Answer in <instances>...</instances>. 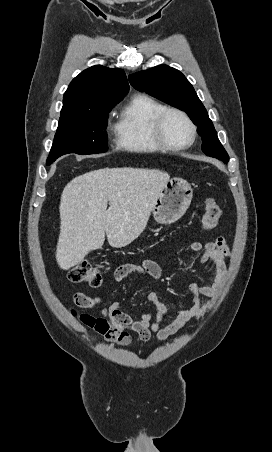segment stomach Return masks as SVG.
I'll return each mask as SVG.
<instances>
[{"mask_svg": "<svg viewBox=\"0 0 272 452\" xmlns=\"http://www.w3.org/2000/svg\"><path fill=\"white\" fill-rule=\"evenodd\" d=\"M193 197L190 184L182 178H172L163 187L152 209L158 224L168 225L180 219Z\"/></svg>", "mask_w": 272, "mask_h": 452, "instance_id": "1", "label": "stomach"}]
</instances>
